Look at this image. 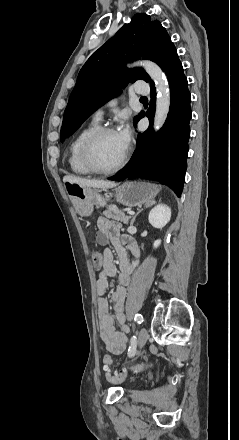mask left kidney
<instances>
[{"mask_svg": "<svg viewBox=\"0 0 239 440\" xmlns=\"http://www.w3.org/2000/svg\"><path fill=\"white\" fill-rule=\"evenodd\" d=\"M171 218V210L166 204H158L149 214V222L153 228H164ZM161 240H155L153 248L160 246Z\"/></svg>", "mask_w": 239, "mask_h": 440, "instance_id": "obj_1", "label": "left kidney"}]
</instances>
